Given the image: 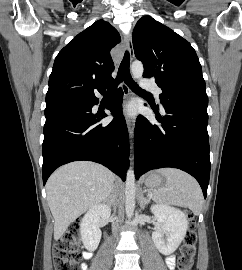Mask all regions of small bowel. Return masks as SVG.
<instances>
[{"label": "small bowel", "mask_w": 242, "mask_h": 270, "mask_svg": "<svg viewBox=\"0 0 242 270\" xmlns=\"http://www.w3.org/2000/svg\"><path fill=\"white\" fill-rule=\"evenodd\" d=\"M83 256L87 259L91 257V253L90 252H83ZM174 262H175V258L174 256H169L166 259V264L168 265L169 268H173L174 267ZM81 269L82 270H86V265L82 264L81 265Z\"/></svg>", "instance_id": "c3829d8e"}]
</instances>
